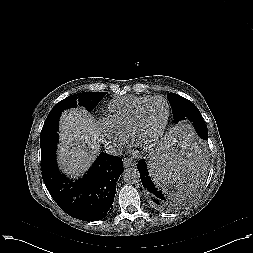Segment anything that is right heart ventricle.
<instances>
[{
  "instance_id": "right-heart-ventricle-1",
  "label": "right heart ventricle",
  "mask_w": 253,
  "mask_h": 253,
  "mask_svg": "<svg viewBox=\"0 0 253 253\" xmlns=\"http://www.w3.org/2000/svg\"><path fill=\"white\" fill-rule=\"evenodd\" d=\"M149 97L151 96L127 95L111 100L107 107L106 121L115 132L127 135L137 108Z\"/></svg>"
}]
</instances>
